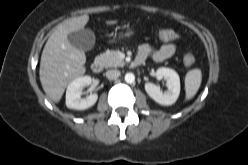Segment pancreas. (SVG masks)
<instances>
[{"mask_svg": "<svg viewBox=\"0 0 248 165\" xmlns=\"http://www.w3.org/2000/svg\"><path fill=\"white\" fill-rule=\"evenodd\" d=\"M103 64L106 68L108 67H122L125 65L124 60L119 57L118 50H108L100 55Z\"/></svg>", "mask_w": 248, "mask_h": 165, "instance_id": "1", "label": "pancreas"}]
</instances>
